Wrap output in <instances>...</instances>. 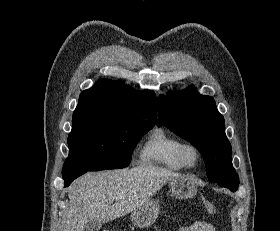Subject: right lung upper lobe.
<instances>
[{"label":"right lung upper lobe","instance_id":"right-lung-upper-lobe-1","mask_svg":"<svg viewBox=\"0 0 280 231\" xmlns=\"http://www.w3.org/2000/svg\"><path fill=\"white\" fill-rule=\"evenodd\" d=\"M156 114L154 92L136 91L124 83L102 79L80 94L73 119L112 118L154 126Z\"/></svg>","mask_w":280,"mask_h":231}]
</instances>
